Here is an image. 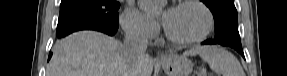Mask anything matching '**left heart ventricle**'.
Masks as SVG:
<instances>
[{"label":"left heart ventricle","mask_w":287,"mask_h":76,"mask_svg":"<svg viewBox=\"0 0 287 76\" xmlns=\"http://www.w3.org/2000/svg\"><path fill=\"white\" fill-rule=\"evenodd\" d=\"M206 22V16L199 7L186 5L174 7L164 24L173 36L188 39L199 35L204 30Z\"/></svg>","instance_id":"1"}]
</instances>
